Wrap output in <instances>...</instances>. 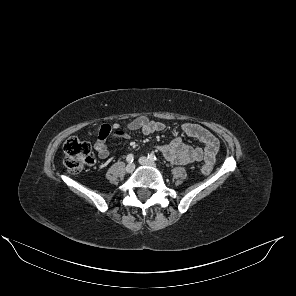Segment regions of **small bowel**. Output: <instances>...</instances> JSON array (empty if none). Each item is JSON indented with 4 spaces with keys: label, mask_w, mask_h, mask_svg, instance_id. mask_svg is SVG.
<instances>
[{
    "label": "small bowel",
    "mask_w": 296,
    "mask_h": 296,
    "mask_svg": "<svg viewBox=\"0 0 296 296\" xmlns=\"http://www.w3.org/2000/svg\"><path fill=\"white\" fill-rule=\"evenodd\" d=\"M164 128L165 125L162 122L152 120L147 116L136 117L126 124H103L99 129L95 149L100 159H106L109 157L108 140L110 137L129 139L130 134L135 131L150 135ZM182 131L185 135L202 142L204 147L186 145L182 138L177 136L169 144L158 146L157 150L168 161L177 165H188L202 160L214 163L219 149L218 139L206 128L194 123L183 124Z\"/></svg>",
    "instance_id": "1"
}]
</instances>
